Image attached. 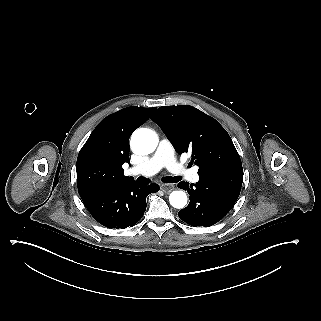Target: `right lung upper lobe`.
<instances>
[{
  "mask_svg": "<svg viewBox=\"0 0 321 321\" xmlns=\"http://www.w3.org/2000/svg\"><path fill=\"white\" fill-rule=\"evenodd\" d=\"M156 108L127 107L104 118L93 130L77 158V186L81 197L134 183L124 175L130 164L129 137Z\"/></svg>",
  "mask_w": 321,
  "mask_h": 321,
  "instance_id": "right-lung-upper-lobe-1",
  "label": "right lung upper lobe"
}]
</instances>
